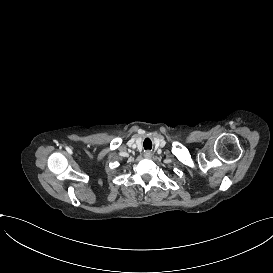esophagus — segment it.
Listing matches in <instances>:
<instances>
[{
  "instance_id": "1",
  "label": "esophagus",
  "mask_w": 273,
  "mask_h": 273,
  "mask_svg": "<svg viewBox=\"0 0 273 273\" xmlns=\"http://www.w3.org/2000/svg\"><path fill=\"white\" fill-rule=\"evenodd\" d=\"M145 158H150L151 157V152L147 151L144 153Z\"/></svg>"
}]
</instances>
